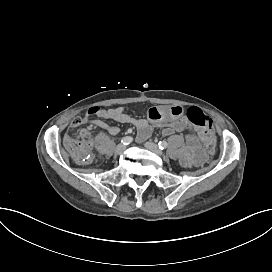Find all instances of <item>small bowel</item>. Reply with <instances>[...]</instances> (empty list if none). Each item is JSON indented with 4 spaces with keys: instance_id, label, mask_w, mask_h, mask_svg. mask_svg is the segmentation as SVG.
I'll return each instance as SVG.
<instances>
[{
    "instance_id": "1",
    "label": "small bowel",
    "mask_w": 272,
    "mask_h": 272,
    "mask_svg": "<svg viewBox=\"0 0 272 272\" xmlns=\"http://www.w3.org/2000/svg\"><path fill=\"white\" fill-rule=\"evenodd\" d=\"M105 119L135 126L138 131V139L141 141L150 136L153 127H162V133L165 136L184 132L188 128V119L180 106L152 107L148 110L147 118L132 117L126 114L122 107L105 109L100 106H92L83 116L74 118L70 128L75 129L82 124H92L106 130L111 135H117L120 129L107 124ZM81 132L89 133L86 130ZM68 137L70 136L67 135L65 140ZM204 159L205 154L199 148L197 137L190 133L186 134L185 148L181 155L182 165L187 168L199 166Z\"/></svg>"
}]
</instances>
